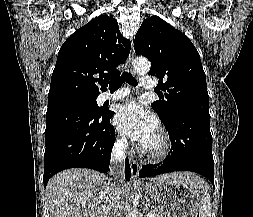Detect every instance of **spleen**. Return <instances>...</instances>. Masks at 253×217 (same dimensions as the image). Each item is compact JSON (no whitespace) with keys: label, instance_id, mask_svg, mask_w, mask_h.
Here are the masks:
<instances>
[{"label":"spleen","instance_id":"obj_1","mask_svg":"<svg viewBox=\"0 0 253 217\" xmlns=\"http://www.w3.org/2000/svg\"><path fill=\"white\" fill-rule=\"evenodd\" d=\"M201 187H203V185ZM211 210L212 206L210 196L204 192L201 197L199 217H211Z\"/></svg>","mask_w":253,"mask_h":217}]
</instances>
